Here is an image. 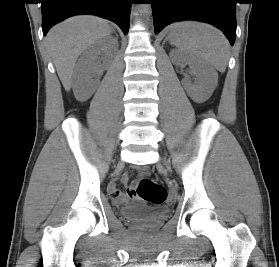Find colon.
Masks as SVG:
<instances>
[{
  "label": "colon",
  "instance_id": "5ec220e1",
  "mask_svg": "<svg viewBox=\"0 0 279 267\" xmlns=\"http://www.w3.org/2000/svg\"><path fill=\"white\" fill-rule=\"evenodd\" d=\"M138 197L143 201L158 205L165 202L167 198V191L164 185L151 179L148 172H142L140 179L136 185Z\"/></svg>",
  "mask_w": 279,
  "mask_h": 267
}]
</instances>
